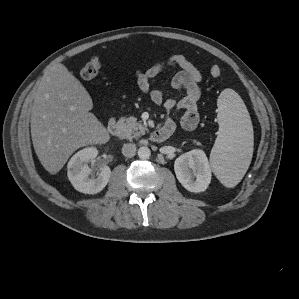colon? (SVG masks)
I'll use <instances>...</instances> for the list:
<instances>
[{"instance_id": "obj_1", "label": "colon", "mask_w": 299, "mask_h": 299, "mask_svg": "<svg viewBox=\"0 0 299 299\" xmlns=\"http://www.w3.org/2000/svg\"><path fill=\"white\" fill-rule=\"evenodd\" d=\"M102 63L98 57L91 58L81 69V76L85 80L93 79L101 69ZM211 76L217 78L221 75V68L218 65H213L210 68Z\"/></svg>"}]
</instances>
